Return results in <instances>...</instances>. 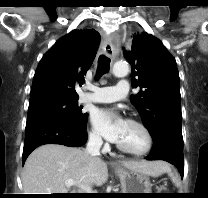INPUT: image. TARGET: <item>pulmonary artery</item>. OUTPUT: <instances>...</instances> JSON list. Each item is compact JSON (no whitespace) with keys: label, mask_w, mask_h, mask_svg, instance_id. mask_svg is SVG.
Returning a JSON list of instances; mask_svg holds the SVG:
<instances>
[{"label":"pulmonary artery","mask_w":208,"mask_h":198,"mask_svg":"<svg viewBox=\"0 0 208 198\" xmlns=\"http://www.w3.org/2000/svg\"><path fill=\"white\" fill-rule=\"evenodd\" d=\"M90 92L83 93L81 99L85 102L111 103L126 98L129 92V84L121 80L116 86L89 87Z\"/></svg>","instance_id":"e3ab8cb5"}]
</instances>
